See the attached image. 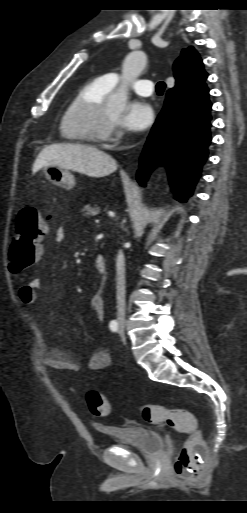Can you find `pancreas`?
<instances>
[{
    "label": "pancreas",
    "mask_w": 247,
    "mask_h": 513,
    "mask_svg": "<svg viewBox=\"0 0 247 513\" xmlns=\"http://www.w3.org/2000/svg\"><path fill=\"white\" fill-rule=\"evenodd\" d=\"M82 212H83V216L89 218L90 216H96L97 214H99L100 208L97 207L96 204H93V205L87 204L82 209Z\"/></svg>",
    "instance_id": "cf45deb5"
}]
</instances>
